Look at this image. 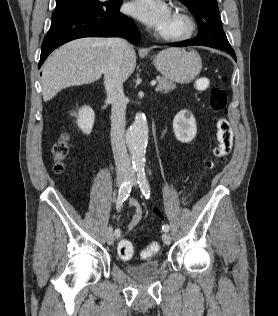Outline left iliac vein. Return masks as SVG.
Masks as SVG:
<instances>
[{"mask_svg":"<svg viewBox=\"0 0 278 316\" xmlns=\"http://www.w3.org/2000/svg\"><path fill=\"white\" fill-rule=\"evenodd\" d=\"M129 182H130V184H132V185H136V178H135L134 175H130V176H129ZM162 240H163V242H164L166 245H169V244L171 243V237H170V235H169L168 233H164V234L162 235Z\"/></svg>","mask_w":278,"mask_h":316,"instance_id":"4c4485c4","label":"left iliac vein"}]
</instances>
